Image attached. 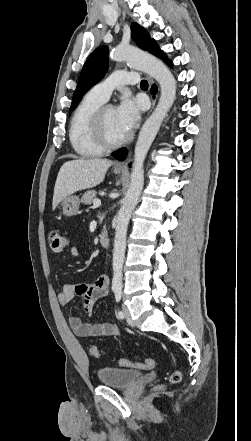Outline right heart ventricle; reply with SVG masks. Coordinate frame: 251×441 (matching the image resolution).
<instances>
[{"mask_svg": "<svg viewBox=\"0 0 251 441\" xmlns=\"http://www.w3.org/2000/svg\"><path fill=\"white\" fill-rule=\"evenodd\" d=\"M105 101L91 90L83 97L72 115L69 139L72 148L81 157H98L104 152L94 139L91 121L94 113Z\"/></svg>", "mask_w": 251, "mask_h": 441, "instance_id": "1", "label": "right heart ventricle"}]
</instances>
